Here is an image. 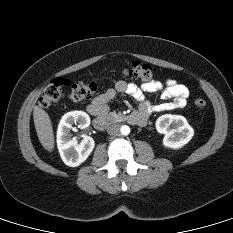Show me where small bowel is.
<instances>
[{"mask_svg": "<svg viewBox=\"0 0 233 233\" xmlns=\"http://www.w3.org/2000/svg\"><path fill=\"white\" fill-rule=\"evenodd\" d=\"M126 93L139 103V112L146 117L153 113H160L174 109L183 108L189 97V90L186 86L173 79H168L164 84L159 81L145 82L141 85L128 83L120 80L114 89H109L105 93L97 96L88 106V111L92 115L105 114L108 111V103L116 93ZM161 93V97L166 102L150 104L145 93Z\"/></svg>", "mask_w": 233, "mask_h": 233, "instance_id": "obj_1", "label": "small bowel"}]
</instances>
